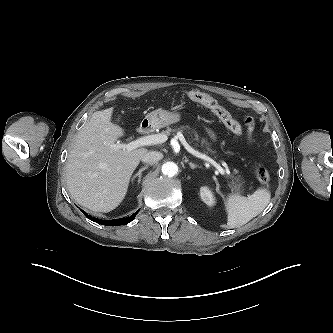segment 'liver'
<instances>
[{
  "label": "liver",
  "instance_id": "liver-1",
  "mask_svg": "<svg viewBox=\"0 0 333 333\" xmlns=\"http://www.w3.org/2000/svg\"><path fill=\"white\" fill-rule=\"evenodd\" d=\"M113 108L93 113L78 132L66 163V183L72 198L95 212H110L124 199L130 178L146 148L115 147L124 129L111 122Z\"/></svg>",
  "mask_w": 333,
  "mask_h": 333
}]
</instances>
